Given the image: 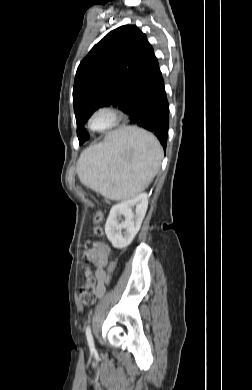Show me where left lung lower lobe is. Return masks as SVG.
<instances>
[{"mask_svg": "<svg viewBox=\"0 0 252 390\" xmlns=\"http://www.w3.org/2000/svg\"><path fill=\"white\" fill-rule=\"evenodd\" d=\"M123 112L129 116V124L142 127L154 133L164 150L166 149L169 103L159 65L131 95ZM88 138L89 135L85 131L80 144Z\"/></svg>", "mask_w": 252, "mask_h": 390, "instance_id": "left-lung-lower-lobe-1", "label": "left lung lower lobe"}]
</instances>
